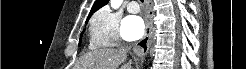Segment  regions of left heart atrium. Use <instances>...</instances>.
Wrapping results in <instances>:
<instances>
[{
  "label": "left heart atrium",
  "instance_id": "1",
  "mask_svg": "<svg viewBox=\"0 0 246 69\" xmlns=\"http://www.w3.org/2000/svg\"><path fill=\"white\" fill-rule=\"evenodd\" d=\"M145 31L143 20L134 15L127 16L122 25V36L127 41H135L141 38Z\"/></svg>",
  "mask_w": 246,
  "mask_h": 69
}]
</instances>
